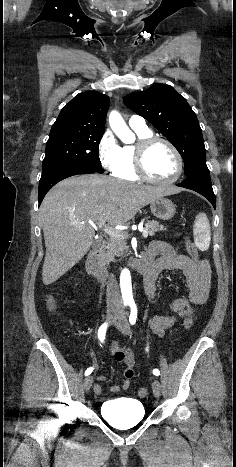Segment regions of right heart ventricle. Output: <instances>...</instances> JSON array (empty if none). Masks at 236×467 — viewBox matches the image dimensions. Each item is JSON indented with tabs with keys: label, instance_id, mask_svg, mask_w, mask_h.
Returning <instances> with one entry per match:
<instances>
[{
	"label": "right heart ventricle",
	"instance_id": "1",
	"mask_svg": "<svg viewBox=\"0 0 236 467\" xmlns=\"http://www.w3.org/2000/svg\"><path fill=\"white\" fill-rule=\"evenodd\" d=\"M138 138H144L152 135L149 129H133ZM135 145H125L121 147V160L118 167L112 171L117 178L127 181H137L140 177L135 171Z\"/></svg>",
	"mask_w": 236,
	"mask_h": 467
}]
</instances>
